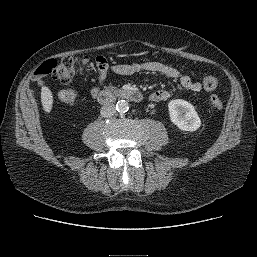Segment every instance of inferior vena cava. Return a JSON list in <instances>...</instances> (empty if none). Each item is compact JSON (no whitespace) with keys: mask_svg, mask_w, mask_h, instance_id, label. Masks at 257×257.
I'll return each instance as SVG.
<instances>
[{"mask_svg":"<svg viewBox=\"0 0 257 257\" xmlns=\"http://www.w3.org/2000/svg\"><path fill=\"white\" fill-rule=\"evenodd\" d=\"M116 109L113 103H108L101 107L100 114L102 117H111L115 114Z\"/></svg>","mask_w":257,"mask_h":257,"instance_id":"1","label":"inferior vena cava"}]
</instances>
